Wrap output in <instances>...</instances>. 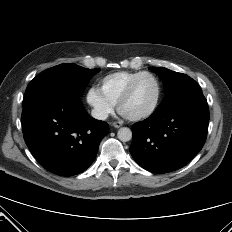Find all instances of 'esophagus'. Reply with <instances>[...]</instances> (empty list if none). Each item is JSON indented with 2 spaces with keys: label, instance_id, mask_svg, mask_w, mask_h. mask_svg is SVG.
Masks as SVG:
<instances>
[{
  "label": "esophagus",
  "instance_id": "obj_1",
  "mask_svg": "<svg viewBox=\"0 0 232 232\" xmlns=\"http://www.w3.org/2000/svg\"><path fill=\"white\" fill-rule=\"evenodd\" d=\"M112 126L115 127V128H119V127L122 126V123H120V122H113Z\"/></svg>",
  "mask_w": 232,
  "mask_h": 232
}]
</instances>
